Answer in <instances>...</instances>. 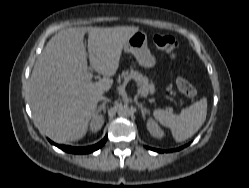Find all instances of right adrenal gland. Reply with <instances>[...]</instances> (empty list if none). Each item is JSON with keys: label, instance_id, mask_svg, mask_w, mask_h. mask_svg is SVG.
I'll list each match as a JSON object with an SVG mask.
<instances>
[{"label": "right adrenal gland", "instance_id": "right-adrenal-gland-1", "mask_svg": "<svg viewBox=\"0 0 249 188\" xmlns=\"http://www.w3.org/2000/svg\"><path fill=\"white\" fill-rule=\"evenodd\" d=\"M109 101H110L109 99H105L104 102L101 105L98 106L97 113H100L101 110H103V114L105 115V113H106V107H105V105Z\"/></svg>", "mask_w": 249, "mask_h": 188}]
</instances>
